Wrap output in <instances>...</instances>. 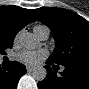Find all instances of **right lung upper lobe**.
<instances>
[{"label":"right lung upper lobe","mask_w":89,"mask_h":89,"mask_svg":"<svg viewBox=\"0 0 89 89\" xmlns=\"http://www.w3.org/2000/svg\"><path fill=\"white\" fill-rule=\"evenodd\" d=\"M30 21H35L32 10L19 6L0 8V41L13 43L15 35Z\"/></svg>","instance_id":"obj_1"}]
</instances>
